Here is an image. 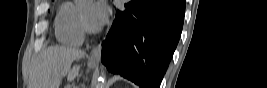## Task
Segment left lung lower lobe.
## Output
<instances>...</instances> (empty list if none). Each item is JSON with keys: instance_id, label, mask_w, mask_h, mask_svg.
<instances>
[{"instance_id": "left-lung-lower-lobe-1", "label": "left lung lower lobe", "mask_w": 267, "mask_h": 88, "mask_svg": "<svg viewBox=\"0 0 267 88\" xmlns=\"http://www.w3.org/2000/svg\"><path fill=\"white\" fill-rule=\"evenodd\" d=\"M117 11L102 63L140 86L158 88L178 44L184 0H132Z\"/></svg>"}]
</instances>
